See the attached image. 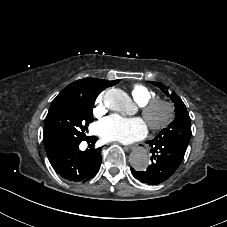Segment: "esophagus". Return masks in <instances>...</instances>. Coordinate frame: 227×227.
<instances>
[{"instance_id": "34e87169", "label": "esophagus", "mask_w": 227, "mask_h": 227, "mask_svg": "<svg viewBox=\"0 0 227 227\" xmlns=\"http://www.w3.org/2000/svg\"><path fill=\"white\" fill-rule=\"evenodd\" d=\"M133 151L135 153H138L139 151L149 152L150 151V146L149 145H145V144H137L133 148Z\"/></svg>"}]
</instances>
